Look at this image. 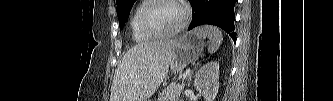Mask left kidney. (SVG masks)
<instances>
[{
    "mask_svg": "<svg viewBox=\"0 0 333 101\" xmlns=\"http://www.w3.org/2000/svg\"><path fill=\"white\" fill-rule=\"evenodd\" d=\"M194 87L205 101H214L219 90V63L211 61L203 65L194 77Z\"/></svg>",
    "mask_w": 333,
    "mask_h": 101,
    "instance_id": "left-kidney-1",
    "label": "left kidney"
}]
</instances>
